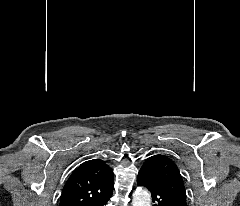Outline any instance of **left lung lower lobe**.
Wrapping results in <instances>:
<instances>
[{
	"instance_id": "0a47b994",
	"label": "left lung lower lobe",
	"mask_w": 240,
	"mask_h": 206,
	"mask_svg": "<svg viewBox=\"0 0 240 206\" xmlns=\"http://www.w3.org/2000/svg\"><path fill=\"white\" fill-rule=\"evenodd\" d=\"M137 183L145 186L151 192L154 202L153 206H180L157 182L147 166H142L138 173Z\"/></svg>"
}]
</instances>
